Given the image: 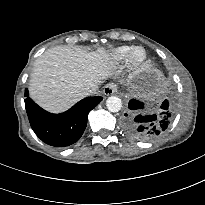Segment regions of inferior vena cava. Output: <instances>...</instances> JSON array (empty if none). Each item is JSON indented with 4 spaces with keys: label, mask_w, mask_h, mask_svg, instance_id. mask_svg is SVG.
<instances>
[{
    "label": "inferior vena cava",
    "mask_w": 205,
    "mask_h": 205,
    "mask_svg": "<svg viewBox=\"0 0 205 205\" xmlns=\"http://www.w3.org/2000/svg\"><path fill=\"white\" fill-rule=\"evenodd\" d=\"M97 89H98V87H93L92 89H90V90L88 91V94L94 93Z\"/></svg>",
    "instance_id": "1"
}]
</instances>
